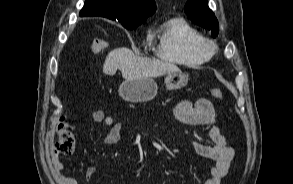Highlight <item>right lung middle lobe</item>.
Masks as SVG:
<instances>
[{
  "mask_svg": "<svg viewBox=\"0 0 293 184\" xmlns=\"http://www.w3.org/2000/svg\"><path fill=\"white\" fill-rule=\"evenodd\" d=\"M143 22H129V23H122V25L127 29H134L138 27Z\"/></svg>",
  "mask_w": 293,
  "mask_h": 184,
  "instance_id": "1",
  "label": "right lung middle lobe"
}]
</instances>
